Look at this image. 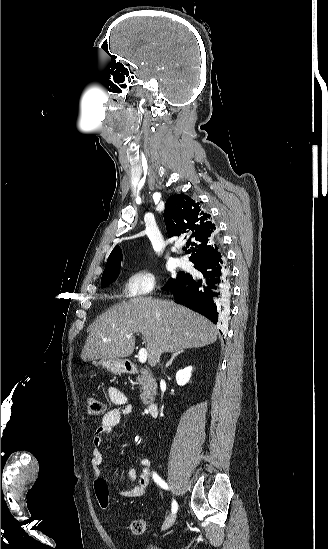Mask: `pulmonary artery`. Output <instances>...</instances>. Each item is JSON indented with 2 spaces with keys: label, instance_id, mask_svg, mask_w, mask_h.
Listing matches in <instances>:
<instances>
[{
  "label": "pulmonary artery",
  "instance_id": "e3ab8cb5",
  "mask_svg": "<svg viewBox=\"0 0 328 549\" xmlns=\"http://www.w3.org/2000/svg\"><path fill=\"white\" fill-rule=\"evenodd\" d=\"M175 264L179 268H187L189 266V262L184 256L176 257Z\"/></svg>",
  "mask_w": 328,
  "mask_h": 549
}]
</instances>
